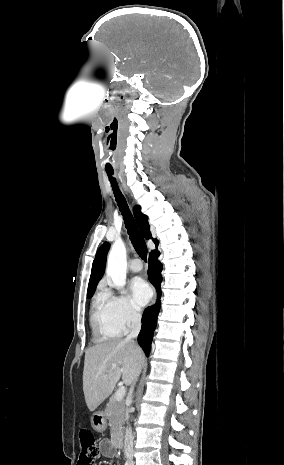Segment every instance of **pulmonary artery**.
I'll return each instance as SVG.
<instances>
[{"label":"pulmonary artery","mask_w":284,"mask_h":465,"mask_svg":"<svg viewBox=\"0 0 284 465\" xmlns=\"http://www.w3.org/2000/svg\"><path fill=\"white\" fill-rule=\"evenodd\" d=\"M142 262L138 259L131 261L129 268L132 272H140L142 270Z\"/></svg>","instance_id":"e3ab8cb5"}]
</instances>
